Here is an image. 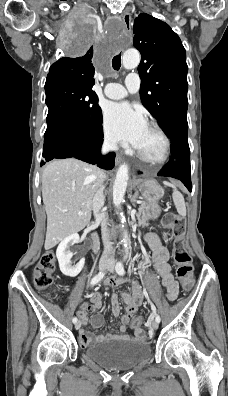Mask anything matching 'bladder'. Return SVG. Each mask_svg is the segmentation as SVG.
<instances>
[{
    "label": "bladder",
    "mask_w": 228,
    "mask_h": 396,
    "mask_svg": "<svg viewBox=\"0 0 228 396\" xmlns=\"http://www.w3.org/2000/svg\"><path fill=\"white\" fill-rule=\"evenodd\" d=\"M84 355L111 370L131 369L147 361L151 355L148 344L126 339H111L89 346Z\"/></svg>",
    "instance_id": "1"
}]
</instances>
